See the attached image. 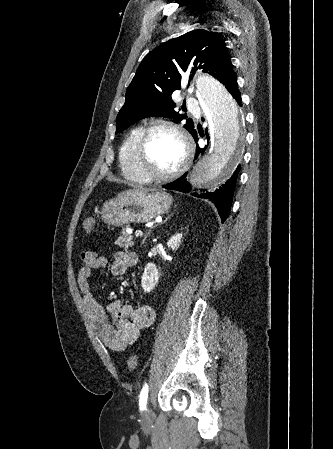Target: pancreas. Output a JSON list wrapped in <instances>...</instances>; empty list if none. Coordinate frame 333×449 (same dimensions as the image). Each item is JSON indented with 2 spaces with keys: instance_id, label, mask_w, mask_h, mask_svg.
Segmentation results:
<instances>
[{
  "instance_id": "pancreas-1",
  "label": "pancreas",
  "mask_w": 333,
  "mask_h": 449,
  "mask_svg": "<svg viewBox=\"0 0 333 449\" xmlns=\"http://www.w3.org/2000/svg\"><path fill=\"white\" fill-rule=\"evenodd\" d=\"M116 244L125 248H128L133 245V236L127 233L126 228H124L119 236Z\"/></svg>"
}]
</instances>
